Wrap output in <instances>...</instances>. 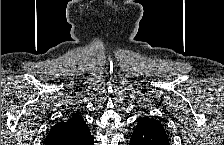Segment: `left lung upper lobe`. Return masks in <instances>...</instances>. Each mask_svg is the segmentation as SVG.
Returning <instances> with one entry per match:
<instances>
[{
  "label": "left lung upper lobe",
  "instance_id": "left-lung-upper-lobe-1",
  "mask_svg": "<svg viewBox=\"0 0 224 145\" xmlns=\"http://www.w3.org/2000/svg\"><path fill=\"white\" fill-rule=\"evenodd\" d=\"M153 121L166 134L165 129L163 128V125L159 121H155V120Z\"/></svg>",
  "mask_w": 224,
  "mask_h": 145
}]
</instances>
